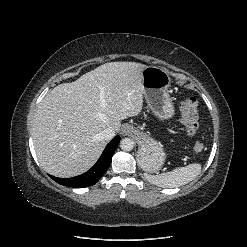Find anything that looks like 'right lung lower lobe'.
<instances>
[{
	"label": "right lung lower lobe",
	"instance_id": "right-lung-lower-lobe-1",
	"mask_svg": "<svg viewBox=\"0 0 247 247\" xmlns=\"http://www.w3.org/2000/svg\"><path fill=\"white\" fill-rule=\"evenodd\" d=\"M120 141V136H116L105 148L96 164L86 173L72 178H51L57 183L69 187L84 188L96 184L101 176L106 172L111 164L112 156Z\"/></svg>",
	"mask_w": 247,
	"mask_h": 247
}]
</instances>
